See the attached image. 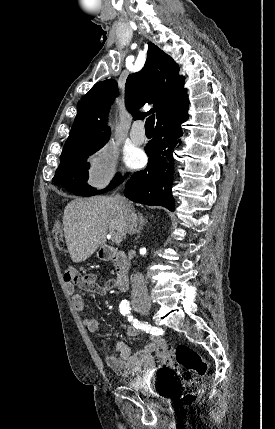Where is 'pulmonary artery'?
Segmentation results:
<instances>
[{"label":"pulmonary artery","mask_w":275,"mask_h":429,"mask_svg":"<svg viewBox=\"0 0 275 429\" xmlns=\"http://www.w3.org/2000/svg\"><path fill=\"white\" fill-rule=\"evenodd\" d=\"M142 127L143 125L139 121L132 125L130 130V138L135 144H142L146 139L145 132Z\"/></svg>","instance_id":"1"}]
</instances>
